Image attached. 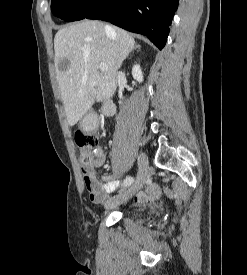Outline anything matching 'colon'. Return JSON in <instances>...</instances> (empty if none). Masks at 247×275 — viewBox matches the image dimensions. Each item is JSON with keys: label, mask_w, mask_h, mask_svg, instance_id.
Listing matches in <instances>:
<instances>
[{"label": "colon", "mask_w": 247, "mask_h": 275, "mask_svg": "<svg viewBox=\"0 0 247 275\" xmlns=\"http://www.w3.org/2000/svg\"><path fill=\"white\" fill-rule=\"evenodd\" d=\"M75 141L80 148V160L84 170L93 160L92 150L96 147L98 140L95 135L78 131L75 135Z\"/></svg>", "instance_id": "obj_1"}]
</instances>
